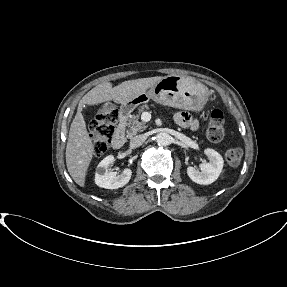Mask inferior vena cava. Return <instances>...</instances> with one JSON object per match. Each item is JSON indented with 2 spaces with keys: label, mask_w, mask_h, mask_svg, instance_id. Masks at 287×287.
Masks as SVG:
<instances>
[{
  "label": "inferior vena cava",
  "mask_w": 287,
  "mask_h": 287,
  "mask_svg": "<svg viewBox=\"0 0 287 287\" xmlns=\"http://www.w3.org/2000/svg\"><path fill=\"white\" fill-rule=\"evenodd\" d=\"M146 140V136L145 135H137L135 137H133L130 140V147L131 148H137L139 146H141Z\"/></svg>",
  "instance_id": "602c4592"
}]
</instances>
